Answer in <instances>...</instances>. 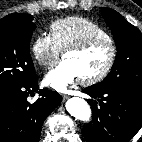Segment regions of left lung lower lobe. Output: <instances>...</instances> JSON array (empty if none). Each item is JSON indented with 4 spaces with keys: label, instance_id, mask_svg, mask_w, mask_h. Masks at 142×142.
<instances>
[{
    "label": "left lung lower lobe",
    "instance_id": "1",
    "mask_svg": "<svg viewBox=\"0 0 142 142\" xmlns=\"http://www.w3.org/2000/svg\"><path fill=\"white\" fill-rule=\"evenodd\" d=\"M93 112L82 129L87 142H128L142 127V89L137 87L95 85L83 90Z\"/></svg>",
    "mask_w": 142,
    "mask_h": 142
}]
</instances>
